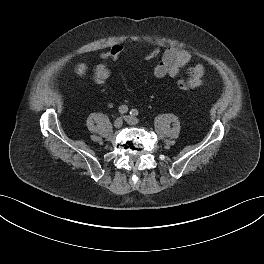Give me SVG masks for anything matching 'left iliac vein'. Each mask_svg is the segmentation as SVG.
<instances>
[{"label":"left iliac vein","mask_w":264,"mask_h":264,"mask_svg":"<svg viewBox=\"0 0 264 264\" xmlns=\"http://www.w3.org/2000/svg\"><path fill=\"white\" fill-rule=\"evenodd\" d=\"M124 119L130 125H135L139 122V120L136 117L129 116V115L125 116Z\"/></svg>","instance_id":"left-iliac-vein-1"}]
</instances>
